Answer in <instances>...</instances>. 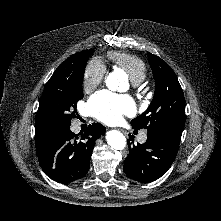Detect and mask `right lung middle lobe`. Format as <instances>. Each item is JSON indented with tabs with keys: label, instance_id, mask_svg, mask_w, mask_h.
<instances>
[{
	"label": "right lung middle lobe",
	"instance_id": "right-lung-middle-lobe-1",
	"mask_svg": "<svg viewBox=\"0 0 221 221\" xmlns=\"http://www.w3.org/2000/svg\"><path fill=\"white\" fill-rule=\"evenodd\" d=\"M82 58L73 73L48 81L36 115V126L45 133L71 125L76 104L83 98L82 82L89 56Z\"/></svg>",
	"mask_w": 221,
	"mask_h": 221
}]
</instances>
